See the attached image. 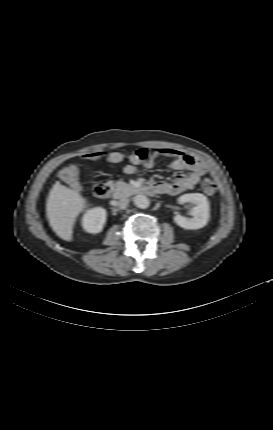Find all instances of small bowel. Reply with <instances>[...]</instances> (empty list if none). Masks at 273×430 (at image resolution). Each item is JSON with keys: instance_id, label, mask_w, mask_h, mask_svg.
Returning a JSON list of instances; mask_svg holds the SVG:
<instances>
[{"instance_id": "c3829d8e", "label": "small bowel", "mask_w": 273, "mask_h": 430, "mask_svg": "<svg viewBox=\"0 0 273 430\" xmlns=\"http://www.w3.org/2000/svg\"><path fill=\"white\" fill-rule=\"evenodd\" d=\"M161 156L173 158L171 167L174 170H188L189 174L178 176L173 182L154 180L150 187L155 193H163L168 195H178L184 191L193 189L200 181L201 177L206 173L205 165L200 162L195 156L170 148H141L131 154L123 152H107L86 155V159L97 160L104 159L108 163H119L123 160H128L130 164L124 168L126 174H136L139 166L151 168L155 160Z\"/></svg>"}]
</instances>
